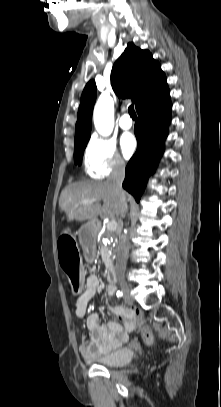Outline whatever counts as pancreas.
<instances>
[{
    "label": "pancreas",
    "mask_w": 221,
    "mask_h": 407,
    "mask_svg": "<svg viewBox=\"0 0 221 407\" xmlns=\"http://www.w3.org/2000/svg\"><path fill=\"white\" fill-rule=\"evenodd\" d=\"M112 232H113V231L107 230V231L102 235V237H108V238H110V237L112 236ZM99 250H100L101 257H102V260H103V262H104L106 268H109V267L111 266L112 260H111V256H110L109 253H108V249H107L106 247H104L102 244H100Z\"/></svg>",
    "instance_id": "obj_1"
}]
</instances>
